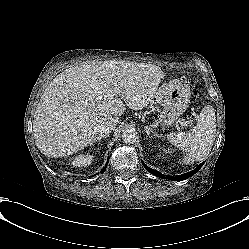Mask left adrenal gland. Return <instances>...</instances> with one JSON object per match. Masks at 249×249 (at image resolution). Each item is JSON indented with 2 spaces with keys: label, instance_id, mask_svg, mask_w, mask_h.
I'll return each instance as SVG.
<instances>
[{
  "label": "left adrenal gland",
  "instance_id": "left-adrenal-gland-1",
  "mask_svg": "<svg viewBox=\"0 0 249 249\" xmlns=\"http://www.w3.org/2000/svg\"><path fill=\"white\" fill-rule=\"evenodd\" d=\"M144 130H145V132H146L148 135H150V133L152 132V130H151L150 128H148L147 126L144 127ZM154 136H156V137H161V136H159V135H154Z\"/></svg>",
  "mask_w": 249,
  "mask_h": 249
}]
</instances>
